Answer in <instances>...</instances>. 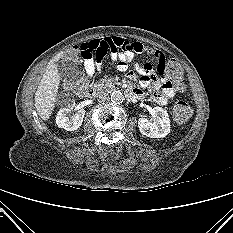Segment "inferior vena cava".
I'll list each match as a JSON object with an SVG mask.
<instances>
[{"instance_id": "1", "label": "inferior vena cava", "mask_w": 233, "mask_h": 233, "mask_svg": "<svg viewBox=\"0 0 233 233\" xmlns=\"http://www.w3.org/2000/svg\"><path fill=\"white\" fill-rule=\"evenodd\" d=\"M109 99H110V97H109V95L106 94V93H101V94H99L98 97H97V100H98L99 102H106V101H108Z\"/></svg>"}]
</instances>
